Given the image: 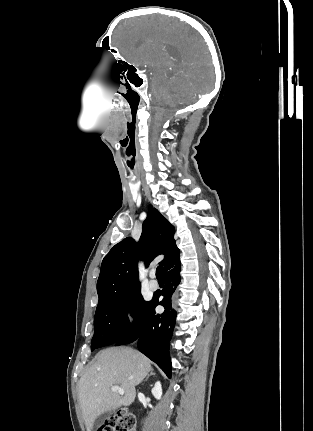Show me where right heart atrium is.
Listing matches in <instances>:
<instances>
[{"instance_id":"right-heart-atrium-1","label":"right heart atrium","mask_w":313,"mask_h":431,"mask_svg":"<svg viewBox=\"0 0 313 431\" xmlns=\"http://www.w3.org/2000/svg\"><path fill=\"white\" fill-rule=\"evenodd\" d=\"M136 313L134 310H128L125 315L124 319L128 322H132L135 319Z\"/></svg>"}]
</instances>
